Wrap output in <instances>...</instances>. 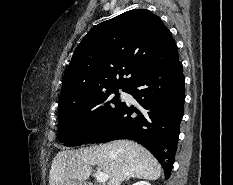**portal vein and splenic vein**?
Listing matches in <instances>:
<instances>
[{
    "label": "portal vein and splenic vein",
    "instance_id": "obj_1",
    "mask_svg": "<svg viewBox=\"0 0 233 185\" xmlns=\"http://www.w3.org/2000/svg\"><path fill=\"white\" fill-rule=\"evenodd\" d=\"M95 176H96L97 182H100V183H104L108 180V175L101 172L100 169L96 171Z\"/></svg>",
    "mask_w": 233,
    "mask_h": 185
}]
</instances>
